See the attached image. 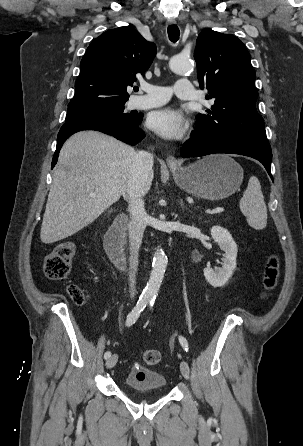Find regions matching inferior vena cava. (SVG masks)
I'll return each instance as SVG.
<instances>
[{"mask_svg":"<svg viewBox=\"0 0 303 446\" xmlns=\"http://www.w3.org/2000/svg\"><path fill=\"white\" fill-rule=\"evenodd\" d=\"M152 167L153 155L147 151H139L136 153L133 159L130 178L128 181V211L130 213V221L128 224L130 242L129 289L131 298L135 295L138 252L146 226V212L143 196L145 194V184L148 180L149 174L152 172Z\"/></svg>","mask_w":303,"mask_h":446,"instance_id":"inferior-vena-cava-1","label":"inferior vena cava"}]
</instances>
